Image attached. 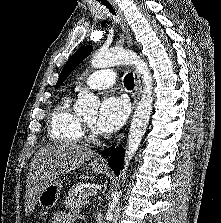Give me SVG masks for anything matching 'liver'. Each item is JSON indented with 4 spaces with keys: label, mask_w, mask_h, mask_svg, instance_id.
<instances>
[{
    "label": "liver",
    "mask_w": 221,
    "mask_h": 223,
    "mask_svg": "<svg viewBox=\"0 0 221 223\" xmlns=\"http://www.w3.org/2000/svg\"><path fill=\"white\" fill-rule=\"evenodd\" d=\"M93 154V150L66 140L47 144L36 152L27 175L26 213L32 212L49 183L80 168Z\"/></svg>",
    "instance_id": "obj_1"
}]
</instances>
